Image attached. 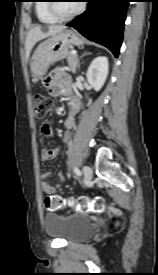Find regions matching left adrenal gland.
<instances>
[{
    "instance_id": "a2214340",
    "label": "left adrenal gland",
    "mask_w": 158,
    "mask_h": 275,
    "mask_svg": "<svg viewBox=\"0 0 158 275\" xmlns=\"http://www.w3.org/2000/svg\"><path fill=\"white\" fill-rule=\"evenodd\" d=\"M88 54H90V53H84V54L81 56V58H82L84 55H88ZM78 67H79V64H78Z\"/></svg>"
}]
</instances>
